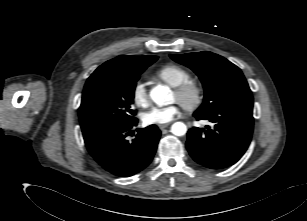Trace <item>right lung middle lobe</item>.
Instances as JSON below:
<instances>
[{
  "label": "right lung middle lobe",
  "instance_id": "obj_1",
  "mask_svg": "<svg viewBox=\"0 0 307 221\" xmlns=\"http://www.w3.org/2000/svg\"><path fill=\"white\" fill-rule=\"evenodd\" d=\"M157 58L154 56L150 62L133 67L92 74L87 79L79 107L85 141L110 128L137 120L136 111L132 108L136 82Z\"/></svg>",
  "mask_w": 307,
  "mask_h": 221
}]
</instances>
